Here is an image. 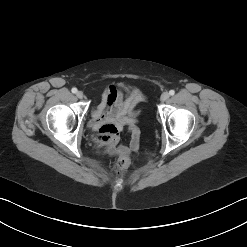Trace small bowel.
<instances>
[{"instance_id":"obj_1","label":"small bowel","mask_w":247,"mask_h":247,"mask_svg":"<svg viewBox=\"0 0 247 247\" xmlns=\"http://www.w3.org/2000/svg\"><path fill=\"white\" fill-rule=\"evenodd\" d=\"M145 96L128 86L110 85L104 91L101 101L91 113L90 127L97 132L96 142L109 155L127 156L139 148V131L136 127L139 112L136 105ZM128 127L130 144L118 145L120 133Z\"/></svg>"}]
</instances>
